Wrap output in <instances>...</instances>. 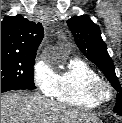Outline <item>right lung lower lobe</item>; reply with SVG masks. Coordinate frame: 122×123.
Here are the masks:
<instances>
[{
	"instance_id": "right-lung-lower-lobe-1",
	"label": "right lung lower lobe",
	"mask_w": 122,
	"mask_h": 123,
	"mask_svg": "<svg viewBox=\"0 0 122 123\" xmlns=\"http://www.w3.org/2000/svg\"><path fill=\"white\" fill-rule=\"evenodd\" d=\"M18 89H24V88L14 84H1V93L10 90H18Z\"/></svg>"
}]
</instances>
